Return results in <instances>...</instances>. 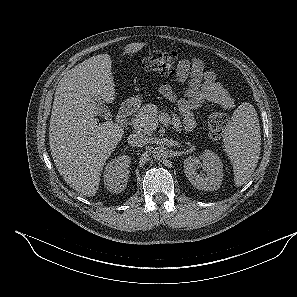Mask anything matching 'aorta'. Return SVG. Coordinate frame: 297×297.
<instances>
[{"mask_svg":"<svg viewBox=\"0 0 297 297\" xmlns=\"http://www.w3.org/2000/svg\"><path fill=\"white\" fill-rule=\"evenodd\" d=\"M153 158L156 160L165 159L168 156V150L164 146H156L152 151Z\"/></svg>","mask_w":297,"mask_h":297,"instance_id":"1","label":"aorta"}]
</instances>
